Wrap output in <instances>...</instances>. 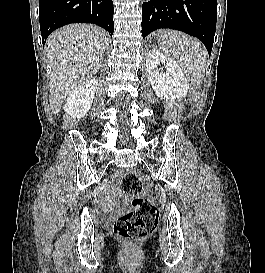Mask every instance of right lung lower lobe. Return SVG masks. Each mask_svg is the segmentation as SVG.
<instances>
[{"label":"right lung lower lobe","instance_id":"98d812e1","mask_svg":"<svg viewBox=\"0 0 265 273\" xmlns=\"http://www.w3.org/2000/svg\"><path fill=\"white\" fill-rule=\"evenodd\" d=\"M112 0H40L42 42L57 28L70 23H93L114 32Z\"/></svg>","mask_w":265,"mask_h":273}]
</instances>
